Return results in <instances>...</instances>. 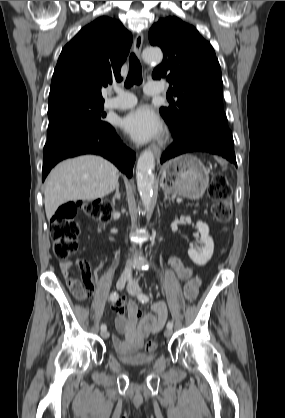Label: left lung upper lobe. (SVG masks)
<instances>
[{
	"label": "left lung upper lobe",
	"instance_id": "obj_1",
	"mask_svg": "<svg viewBox=\"0 0 285 418\" xmlns=\"http://www.w3.org/2000/svg\"><path fill=\"white\" fill-rule=\"evenodd\" d=\"M152 45L159 46L163 61L153 79H164L177 101L161 107L173 137H180L197 124L213 122L228 126L223 110L221 68L211 44L195 27L178 17L160 19L149 31Z\"/></svg>",
	"mask_w": 285,
	"mask_h": 418
}]
</instances>
